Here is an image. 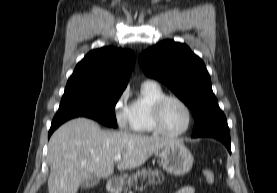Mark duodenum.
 Segmentation results:
<instances>
[{"instance_id": "duodenum-1", "label": "duodenum", "mask_w": 277, "mask_h": 193, "mask_svg": "<svg viewBox=\"0 0 277 193\" xmlns=\"http://www.w3.org/2000/svg\"><path fill=\"white\" fill-rule=\"evenodd\" d=\"M121 189V183L118 179H111L108 182V191L110 193H118Z\"/></svg>"}]
</instances>
